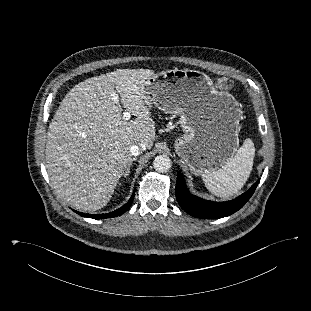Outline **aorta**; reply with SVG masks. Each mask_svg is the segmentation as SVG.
Segmentation results:
<instances>
[{
    "mask_svg": "<svg viewBox=\"0 0 311 311\" xmlns=\"http://www.w3.org/2000/svg\"><path fill=\"white\" fill-rule=\"evenodd\" d=\"M172 162L167 155H158L155 157L153 166L158 172H167L171 168Z\"/></svg>",
    "mask_w": 311,
    "mask_h": 311,
    "instance_id": "762f6f07",
    "label": "aorta"
}]
</instances>
